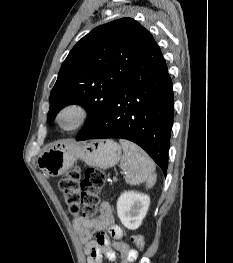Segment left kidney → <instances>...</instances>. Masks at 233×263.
Segmentation results:
<instances>
[{
	"mask_svg": "<svg viewBox=\"0 0 233 263\" xmlns=\"http://www.w3.org/2000/svg\"><path fill=\"white\" fill-rule=\"evenodd\" d=\"M150 205L148 195L134 192H123L117 201V215L121 223L130 230H136L142 224Z\"/></svg>",
	"mask_w": 233,
	"mask_h": 263,
	"instance_id": "obj_1",
	"label": "left kidney"
}]
</instances>
